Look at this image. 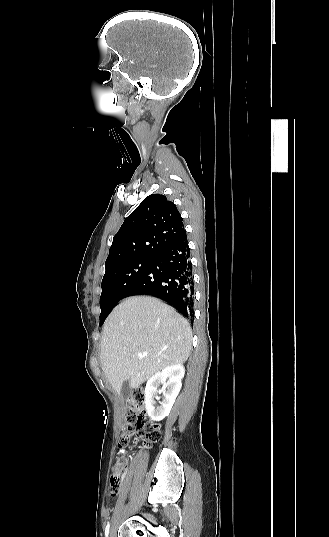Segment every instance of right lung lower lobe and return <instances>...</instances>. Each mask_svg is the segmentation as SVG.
Here are the masks:
<instances>
[{"instance_id":"right-lung-lower-lobe-1","label":"right lung lower lobe","mask_w":329,"mask_h":537,"mask_svg":"<svg viewBox=\"0 0 329 537\" xmlns=\"http://www.w3.org/2000/svg\"><path fill=\"white\" fill-rule=\"evenodd\" d=\"M151 295L193 317L194 282L186 233L155 256L124 297Z\"/></svg>"}]
</instances>
